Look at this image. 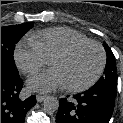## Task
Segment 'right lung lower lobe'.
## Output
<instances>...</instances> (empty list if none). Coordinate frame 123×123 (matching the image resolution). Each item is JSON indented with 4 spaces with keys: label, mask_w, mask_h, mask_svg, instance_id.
I'll list each match as a JSON object with an SVG mask.
<instances>
[{
    "label": "right lung lower lobe",
    "mask_w": 123,
    "mask_h": 123,
    "mask_svg": "<svg viewBox=\"0 0 123 123\" xmlns=\"http://www.w3.org/2000/svg\"><path fill=\"white\" fill-rule=\"evenodd\" d=\"M22 87L19 75L1 70V123H24L27 111L36 104L35 96L19 98Z\"/></svg>",
    "instance_id": "right-lung-lower-lobe-1"
}]
</instances>
